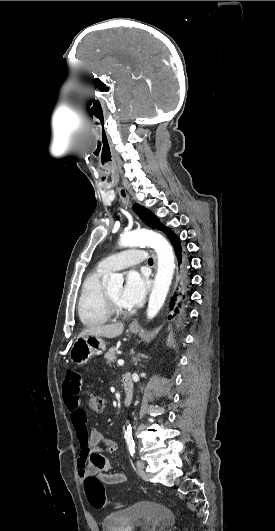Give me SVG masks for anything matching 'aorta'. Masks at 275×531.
<instances>
[{
    "mask_svg": "<svg viewBox=\"0 0 275 531\" xmlns=\"http://www.w3.org/2000/svg\"><path fill=\"white\" fill-rule=\"evenodd\" d=\"M140 243L150 245L155 249L158 257V269L154 279L153 289L150 293L147 307V319H154L164 305L169 287L173 279L175 259L173 249L161 235L151 231H124L120 235V247H139ZM107 289H120L123 285V275H110L105 279ZM125 437H131V429L127 427Z\"/></svg>",
    "mask_w": 275,
    "mask_h": 531,
    "instance_id": "obj_1",
    "label": "aorta"
}]
</instances>
